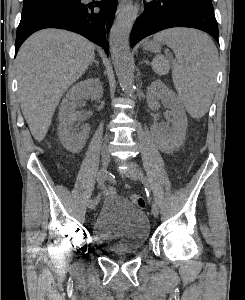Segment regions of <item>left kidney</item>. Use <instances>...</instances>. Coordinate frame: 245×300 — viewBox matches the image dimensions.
<instances>
[{"instance_id":"1","label":"left kidney","mask_w":245,"mask_h":300,"mask_svg":"<svg viewBox=\"0 0 245 300\" xmlns=\"http://www.w3.org/2000/svg\"><path fill=\"white\" fill-rule=\"evenodd\" d=\"M160 101L170 108L172 128L156 127L159 144L166 150L172 151L179 147L186 134L187 116L178 96L162 81H154L147 90V103L151 110L160 107Z\"/></svg>"}]
</instances>
